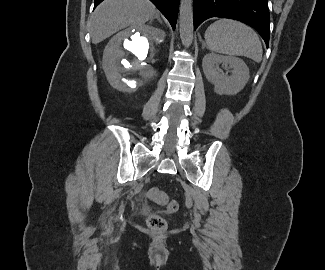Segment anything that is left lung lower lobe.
<instances>
[{"label": "left lung lower lobe", "mask_w": 325, "mask_h": 270, "mask_svg": "<svg viewBox=\"0 0 325 270\" xmlns=\"http://www.w3.org/2000/svg\"><path fill=\"white\" fill-rule=\"evenodd\" d=\"M194 29L211 17L239 20L258 31L267 47L270 16L268 0H194Z\"/></svg>", "instance_id": "0a47b994"}]
</instances>
